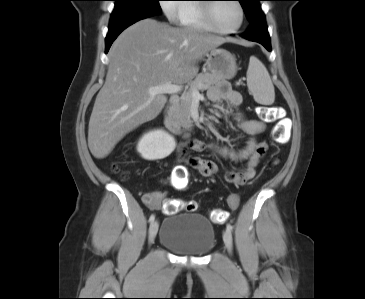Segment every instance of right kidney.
Masks as SVG:
<instances>
[{
	"mask_svg": "<svg viewBox=\"0 0 365 299\" xmlns=\"http://www.w3.org/2000/svg\"><path fill=\"white\" fill-rule=\"evenodd\" d=\"M175 147V139L168 132L158 129L142 136L137 151L145 160H158L169 156Z\"/></svg>",
	"mask_w": 365,
	"mask_h": 299,
	"instance_id": "right-kidney-1",
	"label": "right kidney"
}]
</instances>
